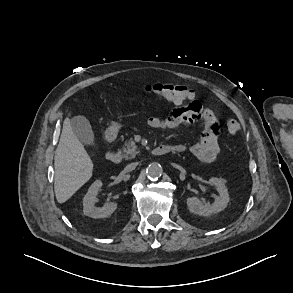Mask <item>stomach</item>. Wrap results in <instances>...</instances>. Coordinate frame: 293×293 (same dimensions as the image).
<instances>
[{"label":"stomach","instance_id":"0dacf381","mask_svg":"<svg viewBox=\"0 0 293 293\" xmlns=\"http://www.w3.org/2000/svg\"><path fill=\"white\" fill-rule=\"evenodd\" d=\"M134 100L133 98H130L129 101ZM121 128V125L118 123H113L109 128L108 131L111 133H117L119 129Z\"/></svg>","mask_w":293,"mask_h":293}]
</instances>
